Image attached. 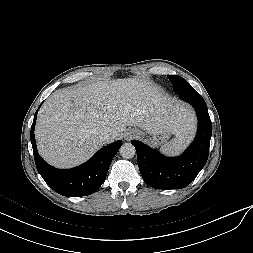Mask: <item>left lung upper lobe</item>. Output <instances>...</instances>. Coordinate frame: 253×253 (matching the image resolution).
<instances>
[{
    "label": "left lung upper lobe",
    "mask_w": 253,
    "mask_h": 253,
    "mask_svg": "<svg viewBox=\"0 0 253 253\" xmlns=\"http://www.w3.org/2000/svg\"><path fill=\"white\" fill-rule=\"evenodd\" d=\"M169 80L173 85V89L176 93L182 94L194 89L185 79L178 75H169Z\"/></svg>",
    "instance_id": "1"
}]
</instances>
